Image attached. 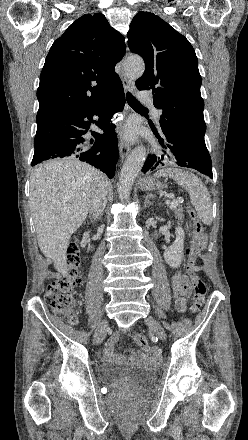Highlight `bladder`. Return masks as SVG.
<instances>
[{"label":"bladder","mask_w":248,"mask_h":440,"mask_svg":"<svg viewBox=\"0 0 248 440\" xmlns=\"http://www.w3.org/2000/svg\"><path fill=\"white\" fill-rule=\"evenodd\" d=\"M101 381L117 391H138L150 387L156 378L155 371L134 365L102 363L97 367Z\"/></svg>","instance_id":"31cf9c89"}]
</instances>
